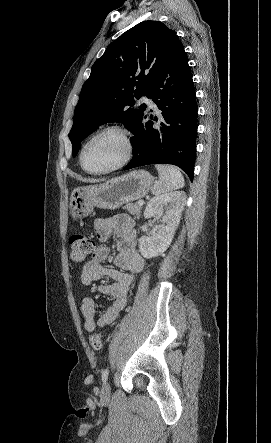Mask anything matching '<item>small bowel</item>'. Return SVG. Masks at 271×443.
<instances>
[{
    "label": "small bowel",
    "instance_id": "obj_1",
    "mask_svg": "<svg viewBox=\"0 0 271 443\" xmlns=\"http://www.w3.org/2000/svg\"><path fill=\"white\" fill-rule=\"evenodd\" d=\"M95 232L102 242L116 237L118 253L114 263L118 268L103 266V262L110 254L108 246L98 247L83 268L81 281L84 285H90L102 278L112 280V283L101 284L97 287L102 295L111 298V302L104 308L98 320H95L94 300L86 297L81 301L80 310L85 320L84 327L88 332L96 327L109 325L117 318L126 304L133 275L138 273L144 264L143 258L136 249V231L134 222L129 216L117 215L111 219L97 220Z\"/></svg>",
    "mask_w": 271,
    "mask_h": 443
}]
</instances>
